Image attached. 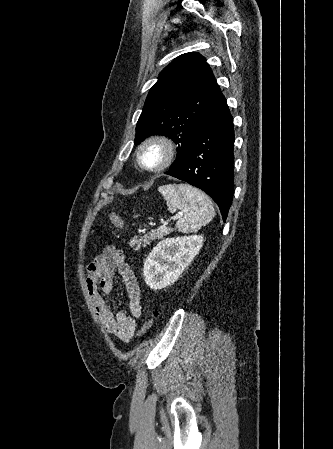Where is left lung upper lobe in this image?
I'll list each match as a JSON object with an SVG mask.
<instances>
[{"label":"left lung upper lobe","mask_w":333,"mask_h":449,"mask_svg":"<svg viewBox=\"0 0 333 449\" xmlns=\"http://www.w3.org/2000/svg\"><path fill=\"white\" fill-rule=\"evenodd\" d=\"M221 94L206 59L196 53L175 58L151 88L136 126L135 144L153 134L178 145L171 167L185 160L193 136Z\"/></svg>","instance_id":"obj_1"}]
</instances>
